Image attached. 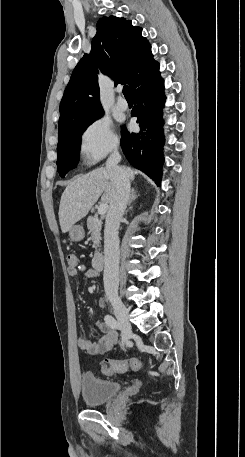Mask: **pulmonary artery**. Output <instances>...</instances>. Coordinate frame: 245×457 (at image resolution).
Returning a JSON list of instances; mask_svg holds the SVG:
<instances>
[{
	"label": "pulmonary artery",
	"mask_w": 245,
	"mask_h": 457,
	"mask_svg": "<svg viewBox=\"0 0 245 457\" xmlns=\"http://www.w3.org/2000/svg\"><path fill=\"white\" fill-rule=\"evenodd\" d=\"M117 92L118 93H121L122 92V89L121 88H118L117 89ZM116 107L119 109V110H126L128 108V103L125 99L123 98H119L116 102Z\"/></svg>",
	"instance_id": "e3ab8cb5"
}]
</instances>
